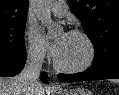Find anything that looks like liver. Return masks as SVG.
Masks as SVG:
<instances>
[{"label":"liver","mask_w":119,"mask_h":95,"mask_svg":"<svg viewBox=\"0 0 119 95\" xmlns=\"http://www.w3.org/2000/svg\"><path fill=\"white\" fill-rule=\"evenodd\" d=\"M33 93V94H31ZM0 95H45L40 83L33 92H28L18 81V76L11 78L0 77Z\"/></svg>","instance_id":"liver-1"}]
</instances>
